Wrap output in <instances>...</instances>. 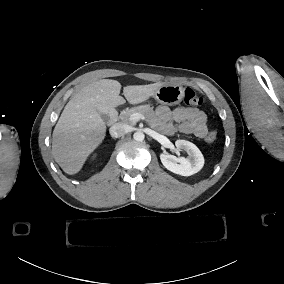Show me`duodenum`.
I'll return each mask as SVG.
<instances>
[{
  "mask_svg": "<svg viewBox=\"0 0 284 284\" xmlns=\"http://www.w3.org/2000/svg\"><path fill=\"white\" fill-rule=\"evenodd\" d=\"M117 121V112H111L108 118V126H113Z\"/></svg>",
  "mask_w": 284,
  "mask_h": 284,
  "instance_id": "duodenum-1",
  "label": "duodenum"
}]
</instances>
